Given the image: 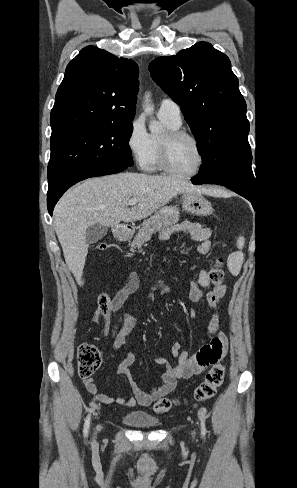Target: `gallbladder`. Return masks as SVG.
<instances>
[{"instance_id": "gallbladder-1", "label": "gallbladder", "mask_w": 297, "mask_h": 488, "mask_svg": "<svg viewBox=\"0 0 297 488\" xmlns=\"http://www.w3.org/2000/svg\"><path fill=\"white\" fill-rule=\"evenodd\" d=\"M108 228L101 224L89 226L86 231V241L91 244L101 240L107 234Z\"/></svg>"}]
</instances>
